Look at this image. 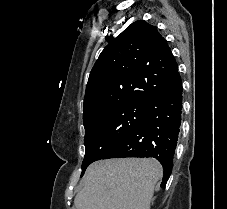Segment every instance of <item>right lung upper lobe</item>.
Returning a JSON list of instances; mask_svg holds the SVG:
<instances>
[{
    "mask_svg": "<svg viewBox=\"0 0 227 209\" xmlns=\"http://www.w3.org/2000/svg\"><path fill=\"white\" fill-rule=\"evenodd\" d=\"M176 61L157 27L139 20L128 26L101 52L91 70L84 97L83 121L101 113V100L118 98L146 102L168 87L162 73Z\"/></svg>",
    "mask_w": 227,
    "mask_h": 209,
    "instance_id": "right-lung-upper-lobe-1",
    "label": "right lung upper lobe"
}]
</instances>
